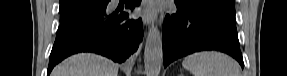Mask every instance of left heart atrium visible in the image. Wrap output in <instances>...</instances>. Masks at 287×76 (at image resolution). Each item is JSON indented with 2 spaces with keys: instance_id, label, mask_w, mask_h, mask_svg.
Returning a JSON list of instances; mask_svg holds the SVG:
<instances>
[{
  "instance_id": "39dd6f15",
  "label": "left heart atrium",
  "mask_w": 287,
  "mask_h": 76,
  "mask_svg": "<svg viewBox=\"0 0 287 76\" xmlns=\"http://www.w3.org/2000/svg\"><path fill=\"white\" fill-rule=\"evenodd\" d=\"M157 9V6L155 3L150 2L149 4H147V6L145 7L144 11L148 12V13H153L155 12Z\"/></svg>"
}]
</instances>
